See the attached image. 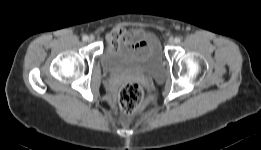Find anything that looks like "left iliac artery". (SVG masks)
Instances as JSON below:
<instances>
[{"mask_svg": "<svg viewBox=\"0 0 261 150\" xmlns=\"http://www.w3.org/2000/svg\"><path fill=\"white\" fill-rule=\"evenodd\" d=\"M180 41H181V39H180L179 37H176V38H175V42H176V43H180Z\"/></svg>", "mask_w": 261, "mask_h": 150, "instance_id": "1", "label": "left iliac artery"}]
</instances>
